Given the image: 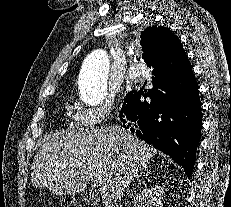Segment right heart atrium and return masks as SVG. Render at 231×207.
Listing matches in <instances>:
<instances>
[{
	"label": "right heart atrium",
	"instance_id": "right-heart-atrium-1",
	"mask_svg": "<svg viewBox=\"0 0 231 207\" xmlns=\"http://www.w3.org/2000/svg\"><path fill=\"white\" fill-rule=\"evenodd\" d=\"M113 107L112 99H107L96 106L80 107L74 116L75 123L82 128H93L111 114Z\"/></svg>",
	"mask_w": 231,
	"mask_h": 207
}]
</instances>
